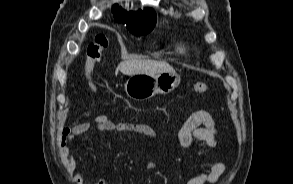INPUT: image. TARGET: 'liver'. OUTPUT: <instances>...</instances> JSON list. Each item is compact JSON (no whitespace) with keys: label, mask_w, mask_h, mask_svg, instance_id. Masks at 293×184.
Returning a JSON list of instances; mask_svg holds the SVG:
<instances>
[{"label":"liver","mask_w":293,"mask_h":184,"mask_svg":"<svg viewBox=\"0 0 293 184\" xmlns=\"http://www.w3.org/2000/svg\"><path fill=\"white\" fill-rule=\"evenodd\" d=\"M117 70L130 76L140 73L156 74L162 72H175L173 67L165 61L135 58L121 62L118 65Z\"/></svg>","instance_id":"liver-1"}]
</instances>
